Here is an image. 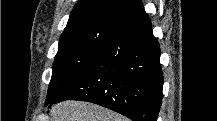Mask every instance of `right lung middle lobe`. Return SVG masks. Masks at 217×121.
Wrapping results in <instances>:
<instances>
[{"label": "right lung middle lobe", "instance_id": "1", "mask_svg": "<svg viewBox=\"0 0 217 121\" xmlns=\"http://www.w3.org/2000/svg\"><path fill=\"white\" fill-rule=\"evenodd\" d=\"M126 24L115 20H97L64 32L60 37L47 99L54 97L84 71Z\"/></svg>", "mask_w": 217, "mask_h": 121}]
</instances>
